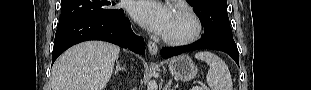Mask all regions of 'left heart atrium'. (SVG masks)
<instances>
[{
    "mask_svg": "<svg viewBox=\"0 0 311 90\" xmlns=\"http://www.w3.org/2000/svg\"><path fill=\"white\" fill-rule=\"evenodd\" d=\"M130 14L146 29L164 35L170 23L172 10L158 1L138 0L132 2Z\"/></svg>",
    "mask_w": 311,
    "mask_h": 90,
    "instance_id": "left-heart-atrium-1",
    "label": "left heart atrium"
}]
</instances>
